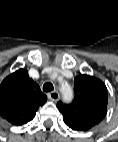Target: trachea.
<instances>
[{
  "mask_svg": "<svg viewBox=\"0 0 118 142\" xmlns=\"http://www.w3.org/2000/svg\"><path fill=\"white\" fill-rule=\"evenodd\" d=\"M53 89H54L53 84L50 82H47L43 85L44 92H49V91H52Z\"/></svg>",
  "mask_w": 118,
  "mask_h": 142,
  "instance_id": "3493384b",
  "label": "trachea"
}]
</instances>
